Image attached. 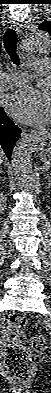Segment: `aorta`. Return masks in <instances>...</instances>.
<instances>
[{
  "mask_svg": "<svg viewBox=\"0 0 51 393\" xmlns=\"http://www.w3.org/2000/svg\"><path fill=\"white\" fill-rule=\"evenodd\" d=\"M23 48L28 54L43 55L50 52V36L42 30H35L27 34ZM48 141V132L40 131L19 140L12 154V166L18 185L24 189L34 187V175L31 154L34 149L45 145Z\"/></svg>",
  "mask_w": 51,
  "mask_h": 393,
  "instance_id": "aorta-1",
  "label": "aorta"
}]
</instances>
